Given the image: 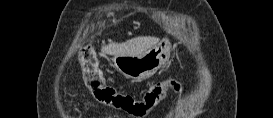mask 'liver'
<instances>
[{"label":"liver","instance_id":"1","mask_svg":"<svg viewBox=\"0 0 273 118\" xmlns=\"http://www.w3.org/2000/svg\"><path fill=\"white\" fill-rule=\"evenodd\" d=\"M159 38L152 36H139L123 43H109L102 47V52L108 55L137 56L158 44Z\"/></svg>","mask_w":273,"mask_h":118}]
</instances>
